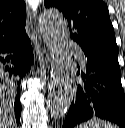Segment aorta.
I'll return each instance as SVG.
<instances>
[{"mask_svg": "<svg viewBox=\"0 0 125 128\" xmlns=\"http://www.w3.org/2000/svg\"><path fill=\"white\" fill-rule=\"evenodd\" d=\"M39 28L51 53L48 108L52 117L62 118L74 96V70L68 49V24L57 9L41 13Z\"/></svg>", "mask_w": 125, "mask_h": 128, "instance_id": "1", "label": "aorta"}]
</instances>
